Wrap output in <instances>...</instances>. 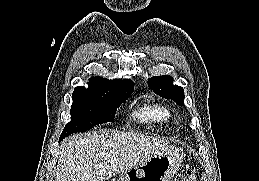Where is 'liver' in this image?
<instances>
[{"label": "liver", "instance_id": "6515ba94", "mask_svg": "<svg viewBox=\"0 0 259 181\" xmlns=\"http://www.w3.org/2000/svg\"><path fill=\"white\" fill-rule=\"evenodd\" d=\"M168 147L133 132L73 135L62 143L55 181H105Z\"/></svg>", "mask_w": 259, "mask_h": 181}]
</instances>
